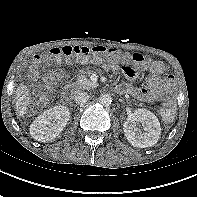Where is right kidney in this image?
<instances>
[{
	"instance_id": "1",
	"label": "right kidney",
	"mask_w": 197,
	"mask_h": 197,
	"mask_svg": "<svg viewBox=\"0 0 197 197\" xmlns=\"http://www.w3.org/2000/svg\"><path fill=\"white\" fill-rule=\"evenodd\" d=\"M69 119L70 113L66 106H54L45 110L32 122L30 134L37 141H52L62 132Z\"/></svg>"
}]
</instances>
